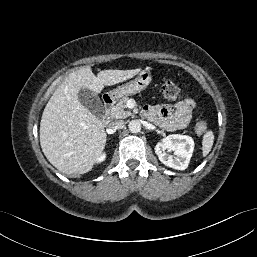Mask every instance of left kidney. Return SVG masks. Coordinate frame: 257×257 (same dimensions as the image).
<instances>
[{"label": "left kidney", "instance_id": "5707ae66", "mask_svg": "<svg viewBox=\"0 0 257 257\" xmlns=\"http://www.w3.org/2000/svg\"><path fill=\"white\" fill-rule=\"evenodd\" d=\"M165 149L172 150L174 155L167 154ZM193 150L192 137L180 134L169 135L155 146V153L159 160L164 165L176 170H185L188 167Z\"/></svg>", "mask_w": 257, "mask_h": 257}]
</instances>
